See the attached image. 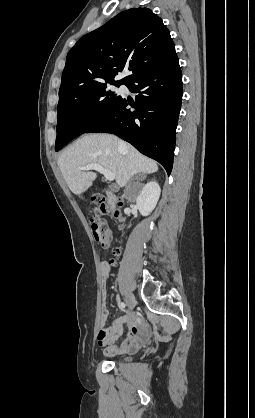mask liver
Wrapping results in <instances>:
<instances>
[{"label": "liver", "mask_w": 255, "mask_h": 418, "mask_svg": "<svg viewBox=\"0 0 255 418\" xmlns=\"http://www.w3.org/2000/svg\"><path fill=\"white\" fill-rule=\"evenodd\" d=\"M119 138L110 134H89L78 139L58 158V166L69 187L76 195L84 193L97 178L92 171L80 167L97 163L115 174L119 187L137 173L151 174L158 171L157 163L138 152L132 145L119 143Z\"/></svg>", "instance_id": "liver-1"}]
</instances>
